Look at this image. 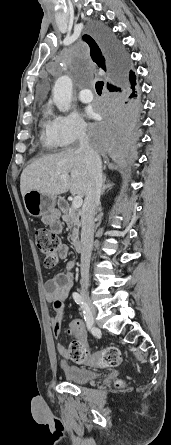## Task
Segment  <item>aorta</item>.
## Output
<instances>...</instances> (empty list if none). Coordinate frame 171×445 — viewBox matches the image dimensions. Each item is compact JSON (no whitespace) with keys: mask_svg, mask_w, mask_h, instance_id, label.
<instances>
[{"mask_svg":"<svg viewBox=\"0 0 171 445\" xmlns=\"http://www.w3.org/2000/svg\"><path fill=\"white\" fill-rule=\"evenodd\" d=\"M72 100V80L63 75L57 79L53 87V101L59 111L66 112L70 109Z\"/></svg>","mask_w":171,"mask_h":445,"instance_id":"obj_1","label":"aorta"}]
</instances>
